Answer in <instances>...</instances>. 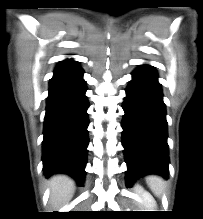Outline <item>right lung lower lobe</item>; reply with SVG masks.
Here are the masks:
<instances>
[{"label": "right lung lower lobe", "instance_id": "right-lung-lower-lobe-1", "mask_svg": "<svg viewBox=\"0 0 203 219\" xmlns=\"http://www.w3.org/2000/svg\"><path fill=\"white\" fill-rule=\"evenodd\" d=\"M83 69L74 60L58 63L49 82L44 118L43 170L84 182L87 162L89 103Z\"/></svg>", "mask_w": 203, "mask_h": 219}]
</instances>
